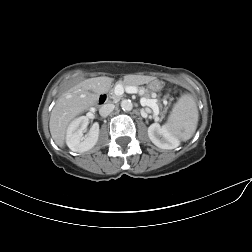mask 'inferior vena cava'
<instances>
[{
  "label": "inferior vena cava",
  "mask_w": 252,
  "mask_h": 252,
  "mask_svg": "<svg viewBox=\"0 0 252 252\" xmlns=\"http://www.w3.org/2000/svg\"><path fill=\"white\" fill-rule=\"evenodd\" d=\"M115 108L114 104H104L99 108V114L102 117H107Z\"/></svg>",
  "instance_id": "1"
}]
</instances>
